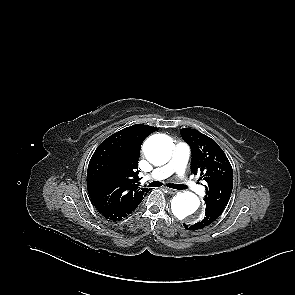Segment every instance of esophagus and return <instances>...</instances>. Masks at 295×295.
I'll use <instances>...</instances> for the list:
<instances>
[{
	"instance_id": "1",
	"label": "esophagus",
	"mask_w": 295,
	"mask_h": 295,
	"mask_svg": "<svg viewBox=\"0 0 295 295\" xmlns=\"http://www.w3.org/2000/svg\"><path fill=\"white\" fill-rule=\"evenodd\" d=\"M166 192H168L169 194H175L177 192V190L175 189H170V188H165Z\"/></svg>"
}]
</instances>
